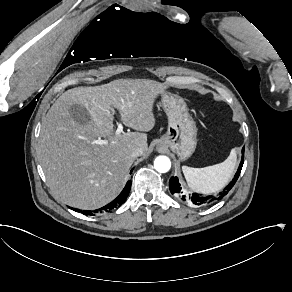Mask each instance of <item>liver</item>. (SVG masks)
I'll return each mask as SVG.
<instances>
[{
    "label": "liver",
    "mask_w": 292,
    "mask_h": 292,
    "mask_svg": "<svg viewBox=\"0 0 292 292\" xmlns=\"http://www.w3.org/2000/svg\"><path fill=\"white\" fill-rule=\"evenodd\" d=\"M166 90L155 81L120 79L63 93L43 118L39 139L40 165L56 198L80 209L114 199L134 162L133 150L147 155L148 144L146 134L115 133L112 111L118 110L125 126L148 132L156 125L155 103ZM73 105L85 107L90 120H74ZM100 138L103 144L93 143Z\"/></svg>",
    "instance_id": "1"
}]
</instances>
